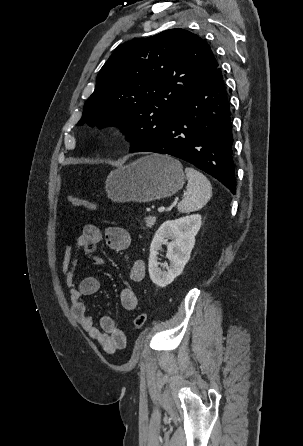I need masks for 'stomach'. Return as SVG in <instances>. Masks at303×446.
<instances>
[{"mask_svg": "<svg viewBox=\"0 0 303 446\" xmlns=\"http://www.w3.org/2000/svg\"><path fill=\"white\" fill-rule=\"evenodd\" d=\"M184 183L178 160L150 154L112 171L106 179V192L113 202H149L174 195Z\"/></svg>", "mask_w": 303, "mask_h": 446, "instance_id": "0dacf381", "label": "stomach"}]
</instances>
